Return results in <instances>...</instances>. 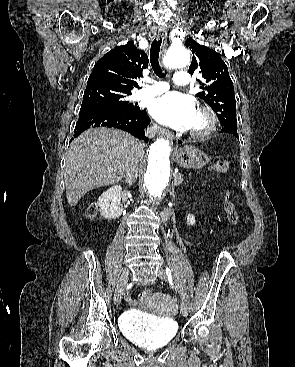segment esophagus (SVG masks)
Wrapping results in <instances>:
<instances>
[{
	"label": "esophagus",
	"instance_id": "34e87169",
	"mask_svg": "<svg viewBox=\"0 0 295 367\" xmlns=\"http://www.w3.org/2000/svg\"><path fill=\"white\" fill-rule=\"evenodd\" d=\"M166 37H167V29L166 28H161L157 34V38L158 39H162L163 40V43H162V48L164 50V46H165V43H166ZM160 135L163 136V137H167V138H172V133L165 130V129H162L160 131Z\"/></svg>",
	"mask_w": 295,
	"mask_h": 367
}]
</instances>
